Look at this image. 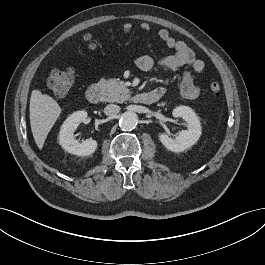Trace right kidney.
<instances>
[{
  "instance_id": "right-kidney-1",
  "label": "right kidney",
  "mask_w": 265,
  "mask_h": 265,
  "mask_svg": "<svg viewBox=\"0 0 265 265\" xmlns=\"http://www.w3.org/2000/svg\"><path fill=\"white\" fill-rule=\"evenodd\" d=\"M87 118L86 111H76L64 121L61 126L58 141L61 147L77 156H88L95 152L97 149V142L92 138L83 142H79L75 139L74 131L78 125L85 122Z\"/></svg>"
}]
</instances>
